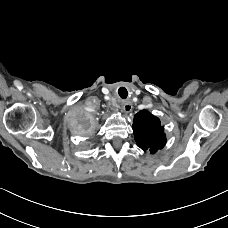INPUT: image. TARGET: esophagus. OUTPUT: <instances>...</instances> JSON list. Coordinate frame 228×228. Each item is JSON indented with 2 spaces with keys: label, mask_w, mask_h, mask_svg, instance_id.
I'll return each mask as SVG.
<instances>
[{
  "label": "esophagus",
  "mask_w": 228,
  "mask_h": 228,
  "mask_svg": "<svg viewBox=\"0 0 228 228\" xmlns=\"http://www.w3.org/2000/svg\"><path fill=\"white\" fill-rule=\"evenodd\" d=\"M133 106H132V103L128 100H123L122 101V110L125 112V113H129L131 110H132Z\"/></svg>",
  "instance_id": "esophagus-1"
}]
</instances>
